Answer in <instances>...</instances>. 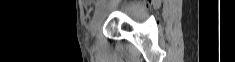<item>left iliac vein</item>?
I'll use <instances>...</instances> for the list:
<instances>
[{
    "instance_id": "1",
    "label": "left iliac vein",
    "mask_w": 235,
    "mask_h": 62,
    "mask_svg": "<svg viewBox=\"0 0 235 62\" xmlns=\"http://www.w3.org/2000/svg\"><path fill=\"white\" fill-rule=\"evenodd\" d=\"M112 8V6H104V7H101L99 12L94 16L92 22H91V25H90V32L92 34V36H95L101 25H102V22L104 20V17H105V13L110 10Z\"/></svg>"
}]
</instances>
